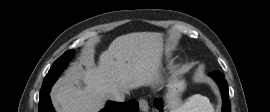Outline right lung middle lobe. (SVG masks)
I'll use <instances>...</instances> for the list:
<instances>
[{
	"mask_svg": "<svg viewBox=\"0 0 270 112\" xmlns=\"http://www.w3.org/2000/svg\"><path fill=\"white\" fill-rule=\"evenodd\" d=\"M74 55V50H69L65 52L61 57H59L50 68L45 79L56 80L61 72L66 68L70 60Z\"/></svg>",
	"mask_w": 270,
	"mask_h": 112,
	"instance_id": "obj_1",
	"label": "right lung middle lobe"
}]
</instances>
